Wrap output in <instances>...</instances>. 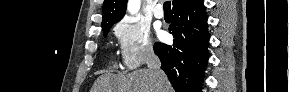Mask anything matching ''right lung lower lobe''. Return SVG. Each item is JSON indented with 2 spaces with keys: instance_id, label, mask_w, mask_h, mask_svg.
Segmentation results:
<instances>
[{
  "instance_id": "1",
  "label": "right lung lower lobe",
  "mask_w": 289,
  "mask_h": 92,
  "mask_svg": "<svg viewBox=\"0 0 289 92\" xmlns=\"http://www.w3.org/2000/svg\"><path fill=\"white\" fill-rule=\"evenodd\" d=\"M172 13L173 45L156 42L155 54L176 92H201L210 38L204 1L196 0Z\"/></svg>"
}]
</instances>
